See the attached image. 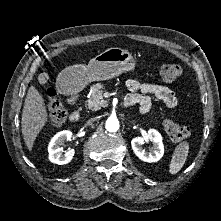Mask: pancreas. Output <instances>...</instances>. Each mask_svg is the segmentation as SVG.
Returning a JSON list of instances; mask_svg holds the SVG:
<instances>
[{"instance_id": "cf45deb5", "label": "pancreas", "mask_w": 221, "mask_h": 221, "mask_svg": "<svg viewBox=\"0 0 221 221\" xmlns=\"http://www.w3.org/2000/svg\"><path fill=\"white\" fill-rule=\"evenodd\" d=\"M103 92L104 86L101 83H97L91 87L90 97L87 101L89 109L96 111L108 105L104 99Z\"/></svg>"}]
</instances>
